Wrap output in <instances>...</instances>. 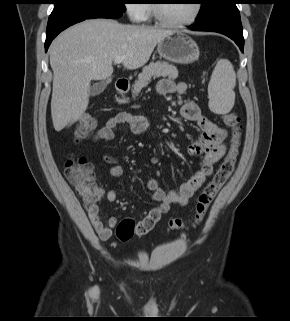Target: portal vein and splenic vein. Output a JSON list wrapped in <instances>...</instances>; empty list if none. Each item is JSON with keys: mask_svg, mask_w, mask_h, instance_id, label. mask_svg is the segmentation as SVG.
Here are the masks:
<instances>
[{"mask_svg": "<svg viewBox=\"0 0 290 321\" xmlns=\"http://www.w3.org/2000/svg\"><path fill=\"white\" fill-rule=\"evenodd\" d=\"M124 57H116L114 58V63L120 64L123 61Z\"/></svg>", "mask_w": 290, "mask_h": 321, "instance_id": "portal-vein-and-splenic-vein-1", "label": "portal vein and splenic vein"}]
</instances>
